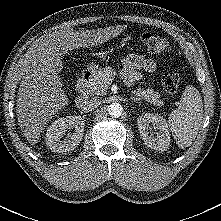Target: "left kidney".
<instances>
[{"mask_svg":"<svg viewBox=\"0 0 221 221\" xmlns=\"http://www.w3.org/2000/svg\"><path fill=\"white\" fill-rule=\"evenodd\" d=\"M139 132L145 145L157 151H165L170 146V134L166 120L158 114L145 113L137 119ZM150 124L153 125L156 136L149 134Z\"/></svg>","mask_w":221,"mask_h":221,"instance_id":"1","label":"left kidney"}]
</instances>
